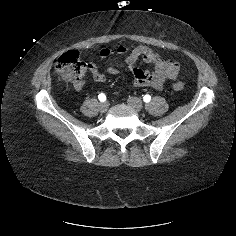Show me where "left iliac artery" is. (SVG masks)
<instances>
[{
    "label": "left iliac artery",
    "instance_id": "left-iliac-artery-1",
    "mask_svg": "<svg viewBox=\"0 0 236 236\" xmlns=\"http://www.w3.org/2000/svg\"><path fill=\"white\" fill-rule=\"evenodd\" d=\"M150 100H151V96L150 95H145L143 97V101L146 102V103L150 102Z\"/></svg>",
    "mask_w": 236,
    "mask_h": 236
}]
</instances>
